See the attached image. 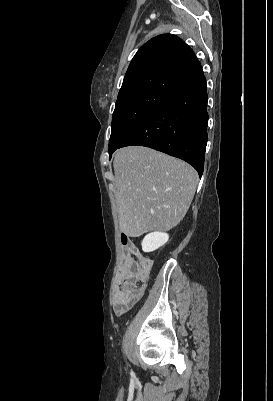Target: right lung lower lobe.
I'll return each mask as SVG.
<instances>
[{"instance_id":"obj_1","label":"right lung lower lobe","mask_w":273,"mask_h":401,"mask_svg":"<svg viewBox=\"0 0 273 401\" xmlns=\"http://www.w3.org/2000/svg\"><path fill=\"white\" fill-rule=\"evenodd\" d=\"M207 101L206 78L202 73L167 94L119 148H153L188 162L201 176L208 138Z\"/></svg>"}]
</instances>
